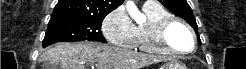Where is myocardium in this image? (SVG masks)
I'll return each instance as SVG.
<instances>
[{"mask_svg": "<svg viewBox=\"0 0 246 69\" xmlns=\"http://www.w3.org/2000/svg\"><path fill=\"white\" fill-rule=\"evenodd\" d=\"M180 24L182 25L189 33L191 37V41L195 43V36L193 33L192 28L182 19L175 17V16H169L166 18H163L160 20L155 26L151 27L148 30V39L149 41L157 46L158 48L170 52L172 54H188L191 53L194 48H192L190 51H180L174 47H172L167 41H166V34L168 29L173 25V24Z\"/></svg>", "mask_w": 246, "mask_h": 69, "instance_id": "myocardium-1", "label": "myocardium"}]
</instances>
